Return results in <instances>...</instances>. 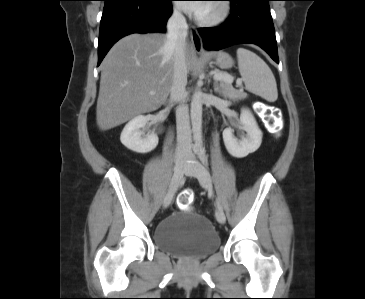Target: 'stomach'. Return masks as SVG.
Returning <instances> with one entry per match:
<instances>
[{
	"label": "stomach",
	"mask_w": 365,
	"mask_h": 299,
	"mask_svg": "<svg viewBox=\"0 0 365 299\" xmlns=\"http://www.w3.org/2000/svg\"><path fill=\"white\" fill-rule=\"evenodd\" d=\"M215 64L221 69H229L233 66L234 62L228 53L219 52L215 56Z\"/></svg>",
	"instance_id": "obj_1"
}]
</instances>
